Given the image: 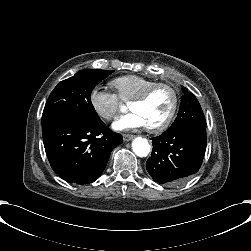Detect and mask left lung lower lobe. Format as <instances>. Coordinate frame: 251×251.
Listing matches in <instances>:
<instances>
[{
    "mask_svg": "<svg viewBox=\"0 0 251 251\" xmlns=\"http://www.w3.org/2000/svg\"><path fill=\"white\" fill-rule=\"evenodd\" d=\"M146 169L159 184L175 185L195 174L206 150V126L186 125L152 138Z\"/></svg>",
    "mask_w": 251,
    "mask_h": 251,
    "instance_id": "0a47b994",
    "label": "left lung lower lobe"
}]
</instances>
